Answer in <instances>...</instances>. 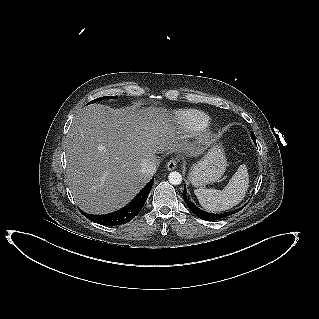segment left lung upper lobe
I'll return each instance as SVG.
<instances>
[{"instance_id": "5c2ea615", "label": "left lung upper lobe", "mask_w": 319, "mask_h": 319, "mask_svg": "<svg viewBox=\"0 0 319 319\" xmlns=\"http://www.w3.org/2000/svg\"><path fill=\"white\" fill-rule=\"evenodd\" d=\"M251 138H252L253 140H256V139H255V134H254L253 132L251 133Z\"/></svg>"}]
</instances>
